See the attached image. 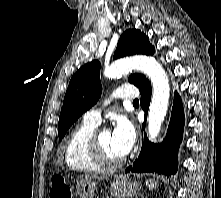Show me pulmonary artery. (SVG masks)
Segmentation results:
<instances>
[{"mask_svg":"<svg viewBox=\"0 0 221 198\" xmlns=\"http://www.w3.org/2000/svg\"><path fill=\"white\" fill-rule=\"evenodd\" d=\"M112 97L122 98V99H136L138 97V92L136 88L132 86H121L117 88ZM84 120L98 125L101 120V112L99 109H91L84 114Z\"/></svg>","mask_w":221,"mask_h":198,"instance_id":"1","label":"pulmonary artery"}]
</instances>
